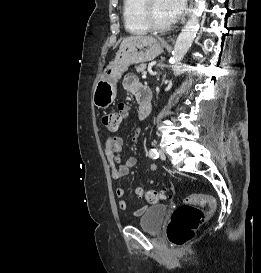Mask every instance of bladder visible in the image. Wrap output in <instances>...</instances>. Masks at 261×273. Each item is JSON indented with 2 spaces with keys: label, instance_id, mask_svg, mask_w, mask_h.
<instances>
[{
  "label": "bladder",
  "instance_id": "bladder-1",
  "mask_svg": "<svg viewBox=\"0 0 261 273\" xmlns=\"http://www.w3.org/2000/svg\"><path fill=\"white\" fill-rule=\"evenodd\" d=\"M168 207L164 204L146 207L140 220V228L148 233H159L163 227Z\"/></svg>",
  "mask_w": 261,
  "mask_h": 273
}]
</instances>
